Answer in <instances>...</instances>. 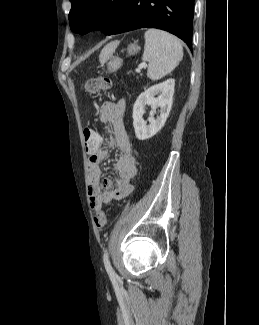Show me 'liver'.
Instances as JSON below:
<instances>
[{
  "label": "liver",
  "mask_w": 259,
  "mask_h": 325,
  "mask_svg": "<svg viewBox=\"0 0 259 325\" xmlns=\"http://www.w3.org/2000/svg\"><path fill=\"white\" fill-rule=\"evenodd\" d=\"M118 42L117 41H113L108 43L101 51L100 55H99V61L100 63H105L110 56L113 54V52L115 51L116 47H117Z\"/></svg>",
  "instance_id": "obj_1"
}]
</instances>
